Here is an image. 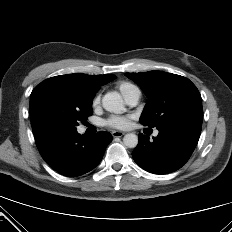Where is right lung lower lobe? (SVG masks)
Wrapping results in <instances>:
<instances>
[{
  "label": "right lung lower lobe",
  "mask_w": 232,
  "mask_h": 232,
  "mask_svg": "<svg viewBox=\"0 0 232 232\" xmlns=\"http://www.w3.org/2000/svg\"><path fill=\"white\" fill-rule=\"evenodd\" d=\"M34 135L42 158L68 177L80 176L95 168L112 140L109 132H98L86 138L76 129L53 128Z\"/></svg>",
  "instance_id": "1"
}]
</instances>
